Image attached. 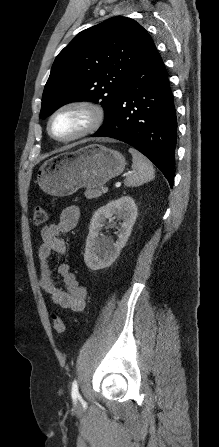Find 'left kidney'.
<instances>
[{
    "label": "left kidney",
    "instance_id": "5707ae66",
    "mask_svg": "<svg viewBox=\"0 0 219 447\" xmlns=\"http://www.w3.org/2000/svg\"><path fill=\"white\" fill-rule=\"evenodd\" d=\"M114 215L123 221L118 230V239L115 243L106 236L101 235L99 237L106 220ZM136 218L137 206L130 196H122L110 201L94 212L89 226L84 253V262L89 269L96 271L113 264L122 248L126 245Z\"/></svg>",
    "mask_w": 219,
    "mask_h": 447
}]
</instances>
